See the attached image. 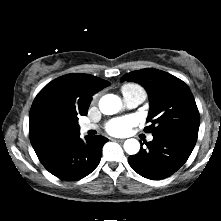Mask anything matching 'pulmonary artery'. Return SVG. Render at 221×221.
I'll return each instance as SVG.
<instances>
[{"label":"pulmonary artery","instance_id":"pulmonary-artery-1","mask_svg":"<svg viewBox=\"0 0 221 221\" xmlns=\"http://www.w3.org/2000/svg\"><path fill=\"white\" fill-rule=\"evenodd\" d=\"M124 102L128 108H134L137 107L139 104H141L145 98L146 94L144 91H135L127 94H123ZM97 126L95 124L87 123V124H82L80 126V131L82 133H86L90 130L96 129ZM149 141L153 140V136L150 135L148 137Z\"/></svg>","mask_w":221,"mask_h":221}]
</instances>
